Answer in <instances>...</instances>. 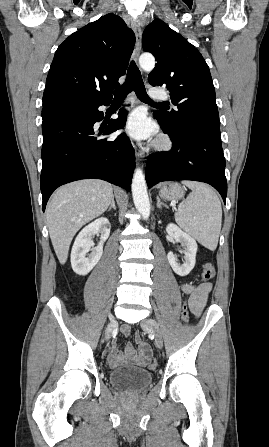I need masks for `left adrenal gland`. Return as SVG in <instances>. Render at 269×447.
I'll list each match as a JSON object with an SVG mask.
<instances>
[{"instance_id":"left-adrenal-gland-1","label":"left adrenal gland","mask_w":269,"mask_h":447,"mask_svg":"<svg viewBox=\"0 0 269 447\" xmlns=\"http://www.w3.org/2000/svg\"><path fill=\"white\" fill-rule=\"evenodd\" d=\"M156 200H157V208H162V206H165V208H167L166 204H163V202H161L159 196H156Z\"/></svg>"}]
</instances>
